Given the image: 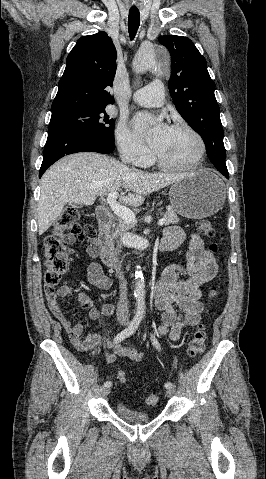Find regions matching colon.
I'll list each match as a JSON object with an SVG mask.
<instances>
[{"label":"colon","mask_w":266,"mask_h":479,"mask_svg":"<svg viewBox=\"0 0 266 479\" xmlns=\"http://www.w3.org/2000/svg\"><path fill=\"white\" fill-rule=\"evenodd\" d=\"M198 231L205 236L214 235V228L209 220H201L198 223ZM71 235L78 241L93 242L96 232L93 226L89 224H81L79 222V211L74 207H67L57 219L52 232L44 240V257L45 272L44 285L45 290L54 291L59 284L63 273L67 270L70 257L67 246L65 245L64 236ZM212 251L217 250L216 244H211ZM216 288H211V293H215ZM206 333L202 325L193 334L188 343L187 353L189 357L195 358L202 354L206 345ZM119 380L124 383L126 375L124 371L118 372ZM148 405H156L158 396L149 394L146 396Z\"/></svg>","instance_id":"5ec220e1"}]
</instances>
